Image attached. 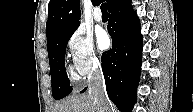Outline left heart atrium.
I'll use <instances>...</instances> for the list:
<instances>
[{
	"mask_svg": "<svg viewBox=\"0 0 193 112\" xmlns=\"http://www.w3.org/2000/svg\"><path fill=\"white\" fill-rule=\"evenodd\" d=\"M97 44L100 50H105L109 44L110 39L106 32L100 31L97 35Z\"/></svg>",
	"mask_w": 193,
	"mask_h": 112,
	"instance_id": "left-heart-atrium-1",
	"label": "left heart atrium"
}]
</instances>
